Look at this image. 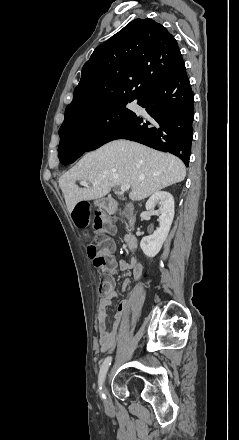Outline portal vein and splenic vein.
Listing matches in <instances>:
<instances>
[{
	"label": "portal vein and splenic vein",
	"instance_id": "18ae733b",
	"mask_svg": "<svg viewBox=\"0 0 239 440\" xmlns=\"http://www.w3.org/2000/svg\"><path fill=\"white\" fill-rule=\"evenodd\" d=\"M81 186H88L87 182H80ZM130 184H124V186H121L120 190L121 192H126V190H129Z\"/></svg>",
	"mask_w": 239,
	"mask_h": 440
}]
</instances>
